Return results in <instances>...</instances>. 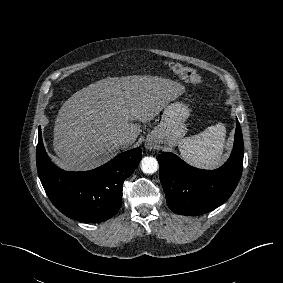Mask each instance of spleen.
<instances>
[{
  "label": "spleen",
  "instance_id": "3e777b00",
  "mask_svg": "<svg viewBox=\"0 0 283 283\" xmlns=\"http://www.w3.org/2000/svg\"><path fill=\"white\" fill-rule=\"evenodd\" d=\"M226 128L223 123L206 128L201 133L182 139L180 155L189 164L204 169H215L222 162Z\"/></svg>",
  "mask_w": 283,
  "mask_h": 283
}]
</instances>
